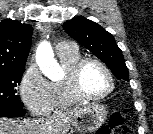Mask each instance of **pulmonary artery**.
<instances>
[{
  "label": "pulmonary artery",
  "instance_id": "pulmonary-artery-1",
  "mask_svg": "<svg viewBox=\"0 0 153 134\" xmlns=\"http://www.w3.org/2000/svg\"><path fill=\"white\" fill-rule=\"evenodd\" d=\"M76 50V47L71 42H61L56 47V52L58 55L70 53Z\"/></svg>",
  "mask_w": 153,
  "mask_h": 134
}]
</instances>
